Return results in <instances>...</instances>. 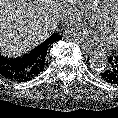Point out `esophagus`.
<instances>
[{"mask_svg": "<svg viewBox=\"0 0 118 118\" xmlns=\"http://www.w3.org/2000/svg\"><path fill=\"white\" fill-rule=\"evenodd\" d=\"M81 49L83 50V52L85 54H88V55H93L95 52L93 50H90L89 48L85 47V46H81Z\"/></svg>", "mask_w": 118, "mask_h": 118, "instance_id": "esophagus-1", "label": "esophagus"}]
</instances>
